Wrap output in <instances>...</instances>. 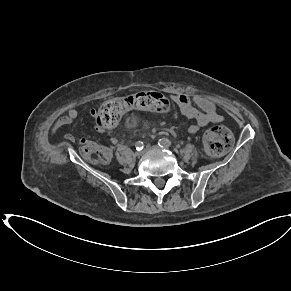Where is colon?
Instances as JSON below:
<instances>
[{"label":"colon","instance_id":"obj_1","mask_svg":"<svg viewBox=\"0 0 291 291\" xmlns=\"http://www.w3.org/2000/svg\"><path fill=\"white\" fill-rule=\"evenodd\" d=\"M169 107L168 99L153 91H141L114 98L105 102L97 111V128L110 130L120 122L124 115L132 111L167 113ZM232 142V134L224 126L211 127L203 136L204 149L213 156L226 152L231 147ZM81 152L85 158L98 164H106L111 159V152L108 148L90 142L82 146Z\"/></svg>","mask_w":291,"mask_h":291}]
</instances>
